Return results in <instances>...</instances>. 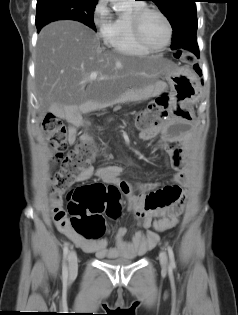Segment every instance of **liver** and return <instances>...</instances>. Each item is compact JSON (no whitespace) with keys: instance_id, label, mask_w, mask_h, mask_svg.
<instances>
[{"instance_id":"1","label":"liver","mask_w":238,"mask_h":315,"mask_svg":"<svg viewBox=\"0 0 238 315\" xmlns=\"http://www.w3.org/2000/svg\"><path fill=\"white\" fill-rule=\"evenodd\" d=\"M167 68L159 56L130 57L101 47L98 36L80 22H52L40 31L36 47L39 119L48 112L65 117L91 101L112 102L145 88ZM91 72L97 79L86 81Z\"/></svg>"}]
</instances>
